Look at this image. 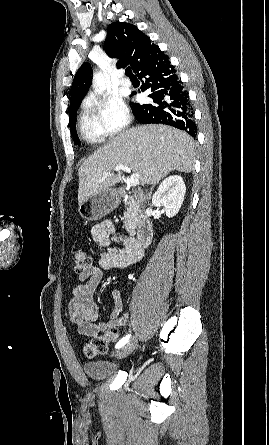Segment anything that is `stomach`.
<instances>
[{
    "label": "stomach",
    "instance_id": "obj_1",
    "mask_svg": "<svg viewBox=\"0 0 269 445\" xmlns=\"http://www.w3.org/2000/svg\"><path fill=\"white\" fill-rule=\"evenodd\" d=\"M120 194L115 189H105L79 204L78 212L86 220H99L118 207Z\"/></svg>",
    "mask_w": 269,
    "mask_h": 445
}]
</instances>
